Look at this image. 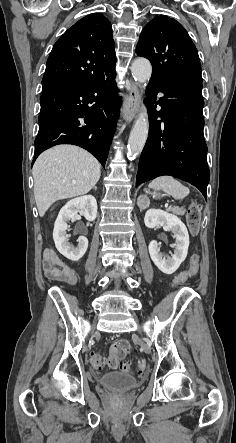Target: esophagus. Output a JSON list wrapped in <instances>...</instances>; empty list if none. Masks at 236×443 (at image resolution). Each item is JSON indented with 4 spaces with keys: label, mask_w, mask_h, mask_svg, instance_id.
Masks as SVG:
<instances>
[{
    "label": "esophagus",
    "mask_w": 236,
    "mask_h": 443,
    "mask_svg": "<svg viewBox=\"0 0 236 443\" xmlns=\"http://www.w3.org/2000/svg\"><path fill=\"white\" fill-rule=\"evenodd\" d=\"M141 101V95L138 86L131 82L130 89L127 94L126 103L123 109L122 117L131 122L136 116Z\"/></svg>",
    "instance_id": "1"
}]
</instances>
